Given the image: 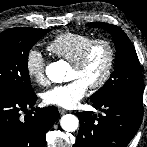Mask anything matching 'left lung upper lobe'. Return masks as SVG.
I'll list each match as a JSON object with an SVG mask.
<instances>
[{"instance_id": "1", "label": "left lung upper lobe", "mask_w": 147, "mask_h": 147, "mask_svg": "<svg viewBox=\"0 0 147 147\" xmlns=\"http://www.w3.org/2000/svg\"><path fill=\"white\" fill-rule=\"evenodd\" d=\"M107 30L116 46L115 69L104 86L91 97L92 102L127 99L143 104V80L139 60L130 39L116 25L95 22L88 24Z\"/></svg>"}]
</instances>
